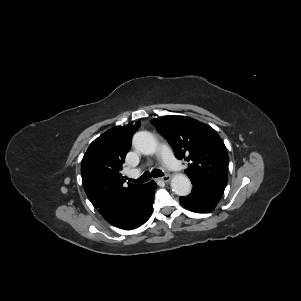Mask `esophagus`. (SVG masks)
Returning <instances> with one entry per match:
<instances>
[{
	"label": "esophagus",
	"mask_w": 301,
	"mask_h": 301,
	"mask_svg": "<svg viewBox=\"0 0 301 301\" xmlns=\"http://www.w3.org/2000/svg\"><path fill=\"white\" fill-rule=\"evenodd\" d=\"M160 180L167 183L171 180V177L170 176H163V177L160 178Z\"/></svg>",
	"instance_id": "esophagus-1"
}]
</instances>
